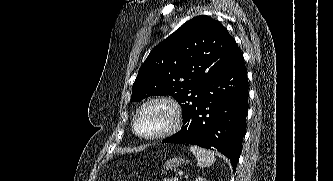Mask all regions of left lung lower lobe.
I'll return each mask as SVG.
<instances>
[{"label":"left lung lower lobe","instance_id":"left-lung-lower-lobe-1","mask_svg":"<svg viewBox=\"0 0 333 181\" xmlns=\"http://www.w3.org/2000/svg\"><path fill=\"white\" fill-rule=\"evenodd\" d=\"M247 111V71L239 51L209 81L199 103L183 114L181 130L162 143H189L218 150L231 161L235 171L242 151Z\"/></svg>","mask_w":333,"mask_h":181}]
</instances>
